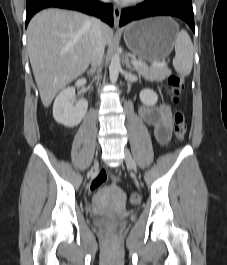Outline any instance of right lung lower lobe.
Wrapping results in <instances>:
<instances>
[{
  "label": "right lung lower lobe",
  "instance_id": "98d812e1",
  "mask_svg": "<svg viewBox=\"0 0 227 265\" xmlns=\"http://www.w3.org/2000/svg\"><path fill=\"white\" fill-rule=\"evenodd\" d=\"M49 7L78 10L113 25V6L100 3L99 0H27L26 27L35 13Z\"/></svg>",
  "mask_w": 227,
  "mask_h": 265
}]
</instances>
